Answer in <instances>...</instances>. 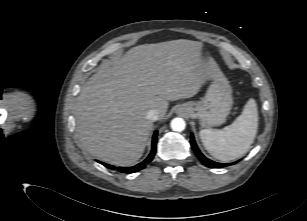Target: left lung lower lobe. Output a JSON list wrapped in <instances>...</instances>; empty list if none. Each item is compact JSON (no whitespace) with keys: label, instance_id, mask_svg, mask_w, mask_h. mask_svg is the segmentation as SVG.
<instances>
[{"label":"left lung lower lobe","instance_id":"left-lung-lower-lobe-1","mask_svg":"<svg viewBox=\"0 0 307 221\" xmlns=\"http://www.w3.org/2000/svg\"><path fill=\"white\" fill-rule=\"evenodd\" d=\"M191 145H192V148H193L196 156L198 157V159L207 167H210V168H222V167H226V166H229V165H232V164L236 163V162H234V163H217V162H214V161L206 158L200 152V150L198 149V147H197V145L195 143L193 135H191Z\"/></svg>","mask_w":307,"mask_h":221}]
</instances>
